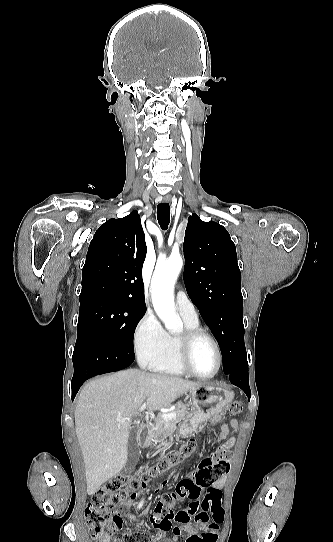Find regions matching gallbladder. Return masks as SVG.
Wrapping results in <instances>:
<instances>
[{
	"label": "gallbladder",
	"mask_w": 333,
	"mask_h": 542,
	"mask_svg": "<svg viewBox=\"0 0 333 542\" xmlns=\"http://www.w3.org/2000/svg\"><path fill=\"white\" fill-rule=\"evenodd\" d=\"M138 428H131L129 434V442L127 446V462L125 464V470H131L136 466L140 456L141 450L137 442Z\"/></svg>",
	"instance_id": "obj_1"
}]
</instances>
